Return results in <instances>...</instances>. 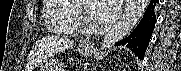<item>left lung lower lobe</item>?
<instances>
[{"label":"left lung lower lobe","instance_id":"obj_1","mask_svg":"<svg viewBox=\"0 0 181 71\" xmlns=\"http://www.w3.org/2000/svg\"><path fill=\"white\" fill-rule=\"evenodd\" d=\"M158 0H151L146 12L135 28V30L124 40L117 43V45H123L131 49L139 59H144L146 48L149 45V41L155 27L156 16L154 8Z\"/></svg>","mask_w":181,"mask_h":71}]
</instances>
